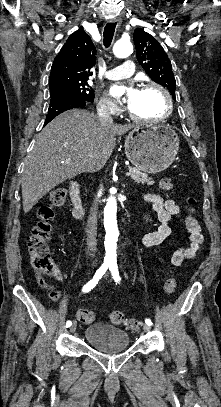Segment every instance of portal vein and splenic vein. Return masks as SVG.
Instances as JSON below:
<instances>
[{"mask_svg":"<svg viewBox=\"0 0 221 407\" xmlns=\"http://www.w3.org/2000/svg\"><path fill=\"white\" fill-rule=\"evenodd\" d=\"M70 161V159H68L67 161H66V163H68ZM131 175V172H126V176H130Z\"/></svg>","mask_w":221,"mask_h":407,"instance_id":"18ae733b","label":"portal vein and splenic vein"}]
</instances>
